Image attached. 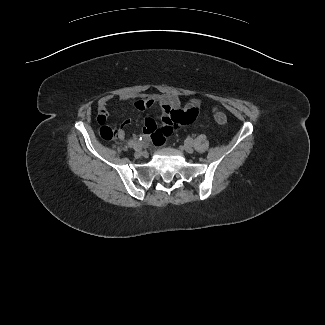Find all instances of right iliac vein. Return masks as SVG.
I'll use <instances>...</instances> for the list:
<instances>
[{
    "instance_id": "63e3f726",
    "label": "right iliac vein",
    "mask_w": 325,
    "mask_h": 325,
    "mask_svg": "<svg viewBox=\"0 0 325 325\" xmlns=\"http://www.w3.org/2000/svg\"><path fill=\"white\" fill-rule=\"evenodd\" d=\"M142 148H141V146L140 145H137V147L135 148V152H134V155L136 156V157H140V156H142Z\"/></svg>"
}]
</instances>
